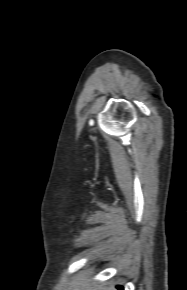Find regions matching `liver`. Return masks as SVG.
Listing matches in <instances>:
<instances>
[{
  "mask_svg": "<svg viewBox=\"0 0 187 290\" xmlns=\"http://www.w3.org/2000/svg\"><path fill=\"white\" fill-rule=\"evenodd\" d=\"M74 290H109L102 284H95L90 279L80 280L76 285Z\"/></svg>",
  "mask_w": 187,
  "mask_h": 290,
  "instance_id": "obj_1",
  "label": "liver"
}]
</instances>
